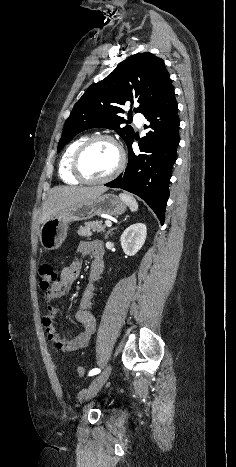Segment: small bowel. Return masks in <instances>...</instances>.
I'll return each instance as SVG.
<instances>
[{"label":"small bowel","mask_w":236,"mask_h":467,"mask_svg":"<svg viewBox=\"0 0 236 467\" xmlns=\"http://www.w3.org/2000/svg\"><path fill=\"white\" fill-rule=\"evenodd\" d=\"M78 257L69 265L62 269L60 279L53 289L46 293V313L43 316V326L47 339L63 352H73L82 349L90 342L96 327L93 314L90 311L91 300L94 293V284L103 270V245L99 241H83L77 247ZM85 257H90V283L87 285L80 307L76 311V319L82 325V331L73 339L63 338L54 326V318L58 313V307L51 303V300L62 298L70 292L73 283L78 279L82 261Z\"/></svg>","instance_id":"c3829d8e"}]
</instances>
